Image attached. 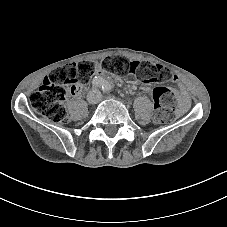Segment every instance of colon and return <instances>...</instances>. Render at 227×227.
I'll use <instances>...</instances> for the list:
<instances>
[{"label": "colon", "mask_w": 227, "mask_h": 227, "mask_svg": "<svg viewBox=\"0 0 227 227\" xmlns=\"http://www.w3.org/2000/svg\"><path fill=\"white\" fill-rule=\"evenodd\" d=\"M97 68L118 77L132 73L144 83L166 82L174 77L163 65L128 61L120 56L106 57L98 65L88 61L71 63L52 71L39 89L31 94L32 109L55 123H65L68 116L64 102L68 93H74L80 85L86 83ZM153 99L154 122H171L176 103L175 90L167 86H158L153 90Z\"/></svg>", "instance_id": "obj_1"}]
</instances>
